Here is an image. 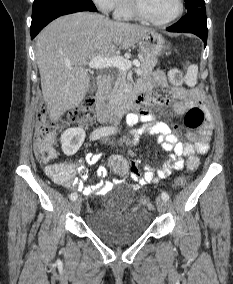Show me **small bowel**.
I'll return each instance as SVG.
<instances>
[{"mask_svg":"<svg viewBox=\"0 0 233 284\" xmlns=\"http://www.w3.org/2000/svg\"><path fill=\"white\" fill-rule=\"evenodd\" d=\"M167 87V79L163 71H155L150 78L144 79L139 86V90L144 94L139 98L133 112L128 116L130 124L143 123L146 131L150 134L159 135V143L163 150L170 152V158L165 161L155 174V167L147 164L143 169L139 167L138 160H131L126 175L136 182L138 186L155 183L159 178L168 176L173 170H180L184 167L185 159L195 154L203 155L209 150V143L212 134V125L206 121L199 127L197 132L187 133V142H182L179 136L166 124L153 121L150 112L151 107H171L175 114L183 115L191 107L199 106L204 102L203 94L195 88L174 87L171 89V97L156 96L151 93L152 88ZM178 126H175V130ZM101 158L100 153L89 152L84 159L76 162H61L47 165L45 173L54 182L72 187L83 194L109 191L113 183L103 182L95 185H87L89 172L84 166V162L93 165ZM108 171L101 166L97 169L96 175L105 178ZM118 183V181H114Z\"/></svg>","mask_w":233,"mask_h":284,"instance_id":"obj_1","label":"small bowel"}]
</instances>
